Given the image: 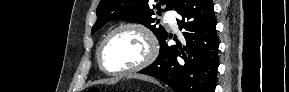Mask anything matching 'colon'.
<instances>
[{"label": "colon", "mask_w": 289, "mask_h": 92, "mask_svg": "<svg viewBox=\"0 0 289 92\" xmlns=\"http://www.w3.org/2000/svg\"><path fill=\"white\" fill-rule=\"evenodd\" d=\"M89 92H101L99 88H91Z\"/></svg>", "instance_id": "5ec220e1"}]
</instances>
